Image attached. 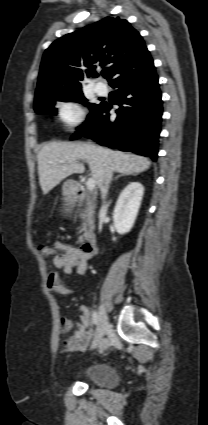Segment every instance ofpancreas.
Returning a JSON list of instances; mask_svg holds the SVG:
<instances>
[{"label": "pancreas", "instance_id": "1", "mask_svg": "<svg viewBox=\"0 0 208 425\" xmlns=\"http://www.w3.org/2000/svg\"><path fill=\"white\" fill-rule=\"evenodd\" d=\"M86 201H87V213H88V216H89V223L93 224V213H94V208H95V202H94V199H90L89 196L86 197ZM86 225H87L86 223H83V225L80 229V232L86 231ZM82 239H83V237L80 236L78 243H81Z\"/></svg>", "mask_w": 208, "mask_h": 425}]
</instances>
